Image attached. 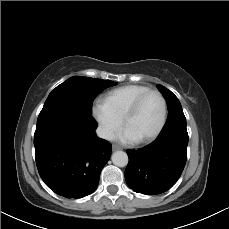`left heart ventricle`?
I'll use <instances>...</instances> for the list:
<instances>
[{
    "mask_svg": "<svg viewBox=\"0 0 229 229\" xmlns=\"http://www.w3.org/2000/svg\"><path fill=\"white\" fill-rule=\"evenodd\" d=\"M162 102L155 95H149L125 126L130 137L141 139L153 133L162 119Z\"/></svg>",
    "mask_w": 229,
    "mask_h": 229,
    "instance_id": "1",
    "label": "left heart ventricle"
}]
</instances>
